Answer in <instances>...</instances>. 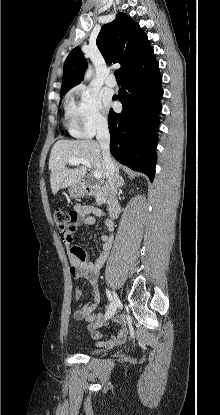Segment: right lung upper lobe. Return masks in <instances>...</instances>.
<instances>
[{"label": "right lung upper lobe", "instance_id": "right-lung-upper-lobe-1", "mask_svg": "<svg viewBox=\"0 0 220 415\" xmlns=\"http://www.w3.org/2000/svg\"><path fill=\"white\" fill-rule=\"evenodd\" d=\"M96 44L107 63L121 64L122 75L140 69L155 59L147 35L138 23L124 13H118L115 20L101 28ZM86 68L87 61L82 51L74 48L64 63L60 93L79 84Z\"/></svg>", "mask_w": 220, "mask_h": 415}]
</instances>
